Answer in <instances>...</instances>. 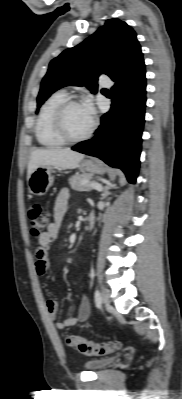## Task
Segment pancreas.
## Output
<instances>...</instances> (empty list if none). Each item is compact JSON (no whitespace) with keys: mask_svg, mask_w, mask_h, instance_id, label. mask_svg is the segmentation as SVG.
Segmentation results:
<instances>
[{"mask_svg":"<svg viewBox=\"0 0 182 399\" xmlns=\"http://www.w3.org/2000/svg\"><path fill=\"white\" fill-rule=\"evenodd\" d=\"M92 178L91 174H81L74 175L69 178V184L73 190L77 191H89L91 188L89 187V183H86L88 180Z\"/></svg>","mask_w":182,"mask_h":399,"instance_id":"pancreas-1","label":"pancreas"}]
</instances>
